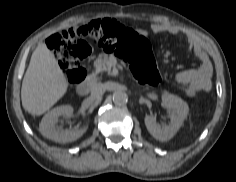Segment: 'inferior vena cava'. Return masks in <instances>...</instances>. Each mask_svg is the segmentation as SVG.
I'll list each match as a JSON object with an SVG mask.
<instances>
[{
  "mask_svg": "<svg viewBox=\"0 0 236 182\" xmlns=\"http://www.w3.org/2000/svg\"><path fill=\"white\" fill-rule=\"evenodd\" d=\"M105 85L103 83H95L91 87V97L100 98L105 92Z\"/></svg>",
  "mask_w": 236,
  "mask_h": 182,
  "instance_id": "1",
  "label": "inferior vena cava"
}]
</instances>
